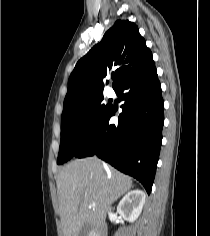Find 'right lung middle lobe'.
I'll return each instance as SVG.
<instances>
[{"label": "right lung middle lobe", "instance_id": "right-lung-middle-lobe-1", "mask_svg": "<svg viewBox=\"0 0 210 236\" xmlns=\"http://www.w3.org/2000/svg\"><path fill=\"white\" fill-rule=\"evenodd\" d=\"M103 99V96L90 99L80 107L62 114L57 164L74 157L101 124L111 108L102 104Z\"/></svg>", "mask_w": 210, "mask_h": 236}]
</instances>
